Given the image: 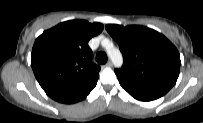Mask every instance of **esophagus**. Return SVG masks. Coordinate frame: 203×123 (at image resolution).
<instances>
[{"label": "esophagus", "mask_w": 203, "mask_h": 123, "mask_svg": "<svg viewBox=\"0 0 203 123\" xmlns=\"http://www.w3.org/2000/svg\"><path fill=\"white\" fill-rule=\"evenodd\" d=\"M105 66H107V67H112V62H111V61H108Z\"/></svg>", "instance_id": "34e87169"}]
</instances>
